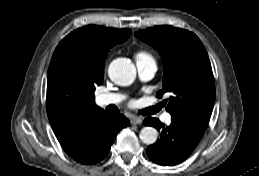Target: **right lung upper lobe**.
Instances as JSON below:
<instances>
[{
	"label": "right lung upper lobe",
	"instance_id": "right-lung-upper-lobe-1",
	"mask_svg": "<svg viewBox=\"0 0 259 176\" xmlns=\"http://www.w3.org/2000/svg\"><path fill=\"white\" fill-rule=\"evenodd\" d=\"M130 35L129 29L87 25L56 47L48 69L46 105L60 143L68 142L104 111L95 104V87L103 82L109 49Z\"/></svg>",
	"mask_w": 259,
	"mask_h": 176
}]
</instances>
